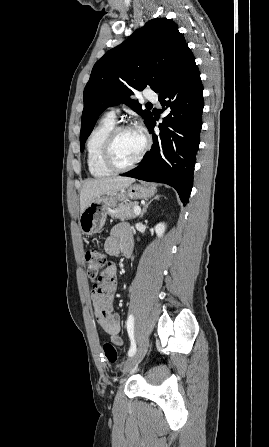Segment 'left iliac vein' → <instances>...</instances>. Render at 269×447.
Instances as JSON below:
<instances>
[{
  "instance_id": "obj_1",
  "label": "left iliac vein",
  "mask_w": 269,
  "mask_h": 447,
  "mask_svg": "<svg viewBox=\"0 0 269 447\" xmlns=\"http://www.w3.org/2000/svg\"><path fill=\"white\" fill-rule=\"evenodd\" d=\"M148 345L149 335H145L143 336L135 354L122 363L123 374H127L133 367L140 363L146 353Z\"/></svg>"
}]
</instances>
